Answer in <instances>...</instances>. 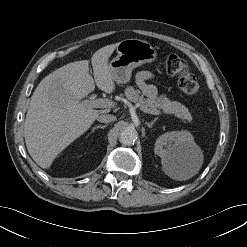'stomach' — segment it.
I'll return each instance as SVG.
<instances>
[{
    "label": "stomach",
    "mask_w": 247,
    "mask_h": 247,
    "mask_svg": "<svg viewBox=\"0 0 247 247\" xmlns=\"http://www.w3.org/2000/svg\"><path fill=\"white\" fill-rule=\"evenodd\" d=\"M156 57V49L144 40L131 38L120 41L117 56L109 63L114 82L117 84L129 82L134 68L151 63Z\"/></svg>",
    "instance_id": "1"
}]
</instances>
